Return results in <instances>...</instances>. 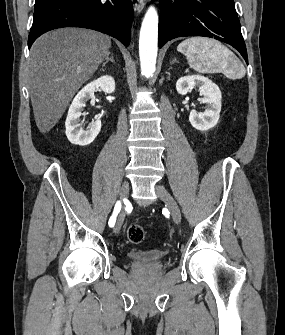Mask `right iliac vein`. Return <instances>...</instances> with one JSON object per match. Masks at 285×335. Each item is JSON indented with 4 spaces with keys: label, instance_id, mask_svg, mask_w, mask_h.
Here are the masks:
<instances>
[{
    "label": "right iliac vein",
    "instance_id": "63e3f726",
    "mask_svg": "<svg viewBox=\"0 0 285 335\" xmlns=\"http://www.w3.org/2000/svg\"><path fill=\"white\" fill-rule=\"evenodd\" d=\"M128 193H129V184L128 182H124L120 189L121 200H124L128 196ZM123 221H124V214L121 213L117 219V222L114 228V233H118L120 231Z\"/></svg>",
    "mask_w": 285,
    "mask_h": 335
}]
</instances>
